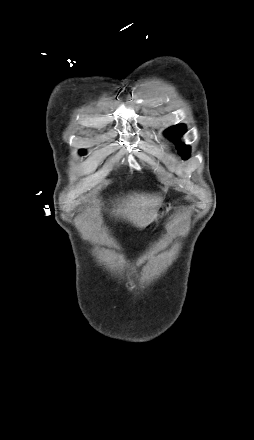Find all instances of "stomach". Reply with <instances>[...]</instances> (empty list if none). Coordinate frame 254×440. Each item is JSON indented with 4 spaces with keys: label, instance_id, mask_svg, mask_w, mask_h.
Returning <instances> with one entry per match:
<instances>
[{
    "label": "stomach",
    "instance_id": "stomach-1",
    "mask_svg": "<svg viewBox=\"0 0 254 440\" xmlns=\"http://www.w3.org/2000/svg\"><path fill=\"white\" fill-rule=\"evenodd\" d=\"M171 205L170 203H163L157 210L156 214L154 215V221L156 223L160 222L162 220L163 217H165V215L168 213V211L170 210Z\"/></svg>",
    "mask_w": 254,
    "mask_h": 440
}]
</instances>
